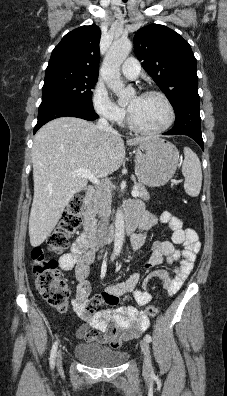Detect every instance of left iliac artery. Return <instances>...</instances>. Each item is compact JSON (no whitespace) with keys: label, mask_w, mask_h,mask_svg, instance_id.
<instances>
[{"label":"left iliac artery","mask_w":227,"mask_h":396,"mask_svg":"<svg viewBox=\"0 0 227 396\" xmlns=\"http://www.w3.org/2000/svg\"><path fill=\"white\" fill-rule=\"evenodd\" d=\"M145 340L150 343L152 338H151V336L149 334H146L145 335Z\"/></svg>","instance_id":"left-iliac-artery-1"}]
</instances>
